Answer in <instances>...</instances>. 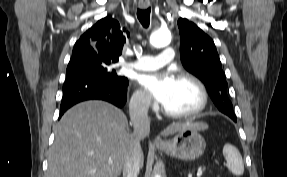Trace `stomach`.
Wrapping results in <instances>:
<instances>
[{
    "instance_id": "1",
    "label": "stomach",
    "mask_w": 287,
    "mask_h": 177,
    "mask_svg": "<svg viewBox=\"0 0 287 177\" xmlns=\"http://www.w3.org/2000/svg\"><path fill=\"white\" fill-rule=\"evenodd\" d=\"M206 147L204 138L193 127H187L175 134L158 148L166 154L185 161H193L202 156Z\"/></svg>"
}]
</instances>
